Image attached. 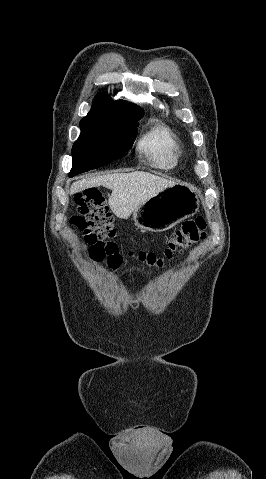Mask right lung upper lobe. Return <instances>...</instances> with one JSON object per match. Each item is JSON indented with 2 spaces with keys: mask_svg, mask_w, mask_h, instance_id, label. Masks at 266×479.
<instances>
[{
  "mask_svg": "<svg viewBox=\"0 0 266 479\" xmlns=\"http://www.w3.org/2000/svg\"><path fill=\"white\" fill-rule=\"evenodd\" d=\"M143 110L125 100L113 101L105 94H98L88 115L82 120H114L134 122L143 117Z\"/></svg>",
  "mask_w": 266,
  "mask_h": 479,
  "instance_id": "right-lung-upper-lobe-1",
  "label": "right lung upper lobe"
}]
</instances>
